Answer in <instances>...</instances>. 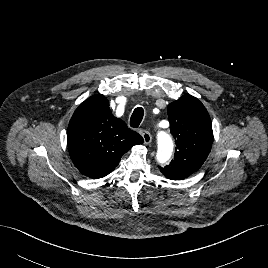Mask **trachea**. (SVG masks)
Returning <instances> with one entry per match:
<instances>
[{
    "label": "trachea",
    "mask_w": 268,
    "mask_h": 268,
    "mask_svg": "<svg viewBox=\"0 0 268 268\" xmlns=\"http://www.w3.org/2000/svg\"><path fill=\"white\" fill-rule=\"evenodd\" d=\"M143 116H144V110L142 107H137L132 115H131V118H130V126L133 127V128H138L142 119H143Z\"/></svg>",
    "instance_id": "1"
}]
</instances>
